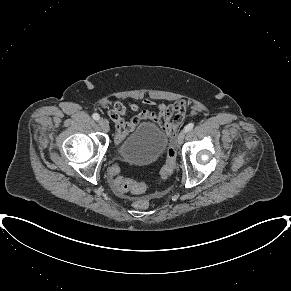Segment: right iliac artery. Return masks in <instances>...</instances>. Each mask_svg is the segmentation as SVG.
<instances>
[{"mask_svg": "<svg viewBox=\"0 0 291 291\" xmlns=\"http://www.w3.org/2000/svg\"><path fill=\"white\" fill-rule=\"evenodd\" d=\"M92 117H93L94 120H99V119H100V116H99V114H97V113H94V114L92 115Z\"/></svg>", "mask_w": 291, "mask_h": 291, "instance_id": "right-iliac-artery-1", "label": "right iliac artery"}]
</instances>
